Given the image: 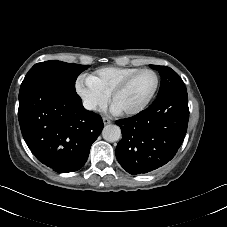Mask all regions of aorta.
Masks as SVG:
<instances>
[{"label": "aorta", "mask_w": 227, "mask_h": 227, "mask_svg": "<svg viewBox=\"0 0 227 227\" xmlns=\"http://www.w3.org/2000/svg\"><path fill=\"white\" fill-rule=\"evenodd\" d=\"M102 136L108 142H116L121 137L120 127L112 124L106 125L102 131Z\"/></svg>", "instance_id": "1"}]
</instances>
